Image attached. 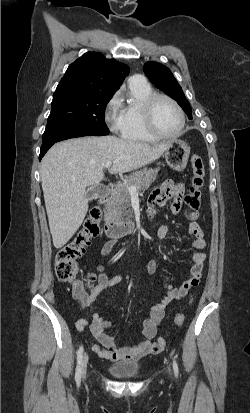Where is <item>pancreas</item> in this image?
Instances as JSON below:
<instances>
[{
	"label": "pancreas",
	"mask_w": 250,
	"mask_h": 413,
	"mask_svg": "<svg viewBox=\"0 0 250 413\" xmlns=\"http://www.w3.org/2000/svg\"><path fill=\"white\" fill-rule=\"evenodd\" d=\"M159 170L160 168L138 170L130 174L125 182L116 186L107 204V216L110 222L120 225L132 218L129 187H136L137 192L141 189H148L155 181Z\"/></svg>",
	"instance_id": "cf45deb5"
}]
</instances>
